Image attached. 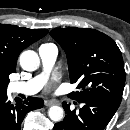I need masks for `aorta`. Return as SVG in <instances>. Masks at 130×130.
I'll use <instances>...</instances> for the list:
<instances>
[{
    "label": "aorta",
    "instance_id": "1",
    "mask_svg": "<svg viewBox=\"0 0 130 130\" xmlns=\"http://www.w3.org/2000/svg\"><path fill=\"white\" fill-rule=\"evenodd\" d=\"M20 65L26 71H35L40 65V59L36 52L32 50L24 51L20 55ZM63 108L52 106L48 110V115L52 121L59 122L63 118Z\"/></svg>",
    "mask_w": 130,
    "mask_h": 130
}]
</instances>
